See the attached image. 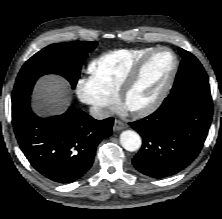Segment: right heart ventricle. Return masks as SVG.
Returning <instances> with one entry per match:
<instances>
[{
    "instance_id": "right-heart-ventricle-1",
    "label": "right heart ventricle",
    "mask_w": 222,
    "mask_h": 219,
    "mask_svg": "<svg viewBox=\"0 0 222 219\" xmlns=\"http://www.w3.org/2000/svg\"><path fill=\"white\" fill-rule=\"evenodd\" d=\"M153 47L118 49L104 53L88 66L90 81L99 93L115 99L123 79L135 63Z\"/></svg>"
}]
</instances>
